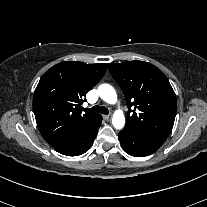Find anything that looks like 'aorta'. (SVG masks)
<instances>
[{
    "mask_svg": "<svg viewBox=\"0 0 207 207\" xmlns=\"http://www.w3.org/2000/svg\"><path fill=\"white\" fill-rule=\"evenodd\" d=\"M99 96L102 100L109 104L117 102V94L115 89L109 84H101L98 87ZM112 124L116 129H122L125 125V117L121 110L115 111L112 116Z\"/></svg>",
    "mask_w": 207,
    "mask_h": 207,
    "instance_id": "obj_1",
    "label": "aorta"
}]
</instances>
